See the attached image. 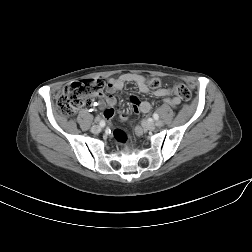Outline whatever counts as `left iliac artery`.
<instances>
[{
  "instance_id": "obj_1",
  "label": "left iliac artery",
  "mask_w": 252,
  "mask_h": 252,
  "mask_svg": "<svg viewBox=\"0 0 252 252\" xmlns=\"http://www.w3.org/2000/svg\"><path fill=\"white\" fill-rule=\"evenodd\" d=\"M153 118H154L155 120H158V119H159V115H158L157 113H154V114H153Z\"/></svg>"
}]
</instances>
